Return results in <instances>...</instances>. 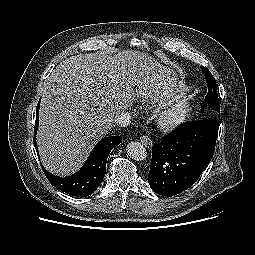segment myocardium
I'll use <instances>...</instances> for the list:
<instances>
[{
	"label": "myocardium",
	"instance_id": "f54148a6",
	"mask_svg": "<svg viewBox=\"0 0 255 255\" xmlns=\"http://www.w3.org/2000/svg\"><path fill=\"white\" fill-rule=\"evenodd\" d=\"M190 113L187 101H176L164 106L158 113L157 124L165 131H170L186 121Z\"/></svg>",
	"mask_w": 255,
	"mask_h": 255
}]
</instances>
